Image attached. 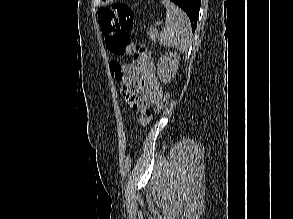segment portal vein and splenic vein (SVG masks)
Here are the masks:
<instances>
[{
    "mask_svg": "<svg viewBox=\"0 0 293 219\" xmlns=\"http://www.w3.org/2000/svg\"><path fill=\"white\" fill-rule=\"evenodd\" d=\"M155 25L159 26V25H161V22H156ZM153 30H155V29H153Z\"/></svg>",
    "mask_w": 293,
    "mask_h": 219,
    "instance_id": "1",
    "label": "portal vein and splenic vein"
}]
</instances>
